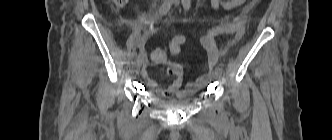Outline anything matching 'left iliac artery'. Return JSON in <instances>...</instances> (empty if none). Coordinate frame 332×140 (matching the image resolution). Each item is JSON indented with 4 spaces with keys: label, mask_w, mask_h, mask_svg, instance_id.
Listing matches in <instances>:
<instances>
[{
    "label": "left iliac artery",
    "mask_w": 332,
    "mask_h": 140,
    "mask_svg": "<svg viewBox=\"0 0 332 140\" xmlns=\"http://www.w3.org/2000/svg\"><path fill=\"white\" fill-rule=\"evenodd\" d=\"M182 4L185 10H189L191 7V0H182ZM215 70L221 73V68L219 66H217Z\"/></svg>",
    "instance_id": "1"
}]
</instances>
